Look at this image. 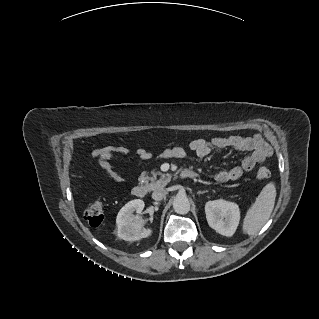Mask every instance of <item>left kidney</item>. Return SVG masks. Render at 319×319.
I'll return each mask as SVG.
<instances>
[{
  "instance_id": "obj_1",
  "label": "left kidney",
  "mask_w": 319,
  "mask_h": 319,
  "mask_svg": "<svg viewBox=\"0 0 319 319\" xmlns=\"http://www.w3.org/2000/svg\"><path fill=\"white\" fill-rule=\"evenodd\" d=\"M209 226L223 236H232L240 221L239 206L230 201L217 199L205 204Z\"/></svg>"
}]
</instances>
